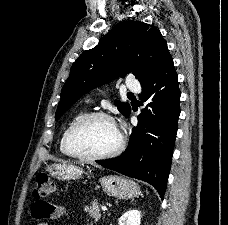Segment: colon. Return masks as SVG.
I'll list each match as a JSON object with an SVG mask.
<instances>
[{
  "label": "colon",
  "instance_id": "colon-1",
  "mask_svg": "<svg viewBox=\"0 0 228 225\" xmlns=\"http://www.w3.org/2000/svg\"><path fill=\"white\" fill-rule=\"evenodd\" d=\"M53 190V182L47 175L41 173L37 176L35 181L33 188V198L35 200H43Z\"/></svg>",
  "mask_w": 228,
  "mask_h": 225
}]
</instances>
